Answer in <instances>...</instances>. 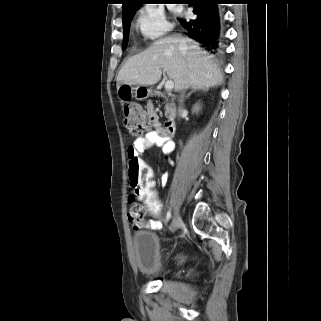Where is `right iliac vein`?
<instances>
[{
  "label": "right iliac vein",
  "mask_w": 321,
  "mask_h": 321,
  "mask_svg": "<svg viewBox=\"0 0 321 321\" xmlns=\"http://www.w3.org/2000/svg\"><path fill=\"white\" fill-rule=\"evenodd\" d=\"M181 224V216L179 212H175L172 220V226L171 229L175 230L179 225Z\"/></svg>",
  "instance_id": "right-iliac-vein-1"
}]
</instances>
